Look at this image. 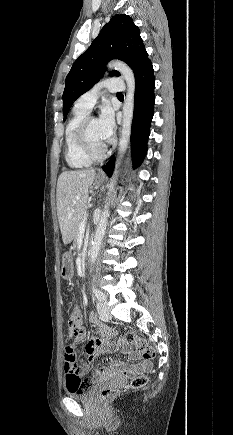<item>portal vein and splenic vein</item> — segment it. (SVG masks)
<instances>
[{"mask_svg":"<svg viewBox=\"0 0 233 435\" xmlns=\"http://www.w3.org/2000/svg\"><path fill=\"white\" fill-rule=\"evenodd\" d=\"M85 228H86V222H85V221H82V222L79 224V227H78V230H79V234H80V235L84 234V232H85Z\"/></svg>","mask_w":233,"mask_h":435,"instance_id":"18ae733b","label":"portal vein and splenic vein"}]
</instances>
